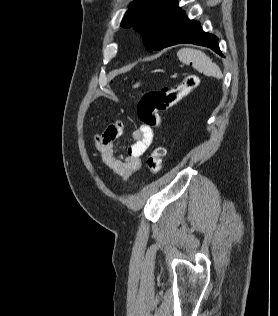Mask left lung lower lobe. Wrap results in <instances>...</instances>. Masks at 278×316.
I'll return each instance as SVG.
<instances>
[{
	"label": "left lung lower lobe",
	"mask_w": 278,
	"mask_h": 316,
	"mask_svg": "<svg viewBox=\"0 0 278 316\" xmlns=\"http://www.w3.org/2000/svg\"><path fill=\"white\" fill-rule=\"evenodd\" d=\"M182 43H191L209 47L217 54L223 56L218 46V38L215 35L205 33L199 22L190 20L185 14L175 34L164 48Z\"/></svg>",
	"instance_id": "1"
}]
</instances>
